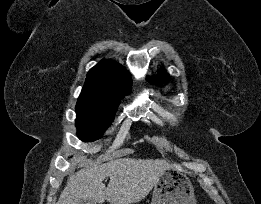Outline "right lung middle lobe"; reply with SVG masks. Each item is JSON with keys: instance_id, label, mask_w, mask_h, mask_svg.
<instances>
[{"instance_id": "dd1d6c3e", "label": "right lung middle lobe", "mask_w": 261, "mask_h": 204, "mask_svg": "<svg viewBox=\"0 0 261 204\" xmlns=\"http://www.w3.org/2000/svg\"><path fill=\"white\" fill-rule=\"evenodd\" d=\"M117 106L95 105L86 102H77L76 127L77 135L84 142L99 139L103 131L114 120Z\"/></svg>"}]
</instances>
